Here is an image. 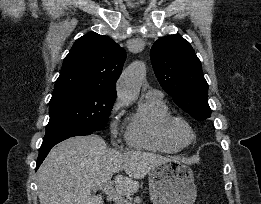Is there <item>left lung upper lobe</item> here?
Returning a JSON list of instances; mask_svg holds the SVG:
<instances>
[{
  "label": "left lung upper lobe",
  "instance_id": "5c2ea615",
  "mask_svg": "<svg viewBox=\"0 0 261 204\" xmlns=\"http://www.w3.org/2000/svg\"><path fill=\"white\" fill-rule=\"evenodd\" d=\"M150 57L160 85L173 101L198 121L209 118L208 84L189 42L178 35L161 37Z\"/></svg>",
  "mask_w": 261,
  "mask_h": 204
}]
</instances>
